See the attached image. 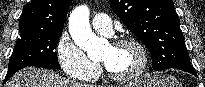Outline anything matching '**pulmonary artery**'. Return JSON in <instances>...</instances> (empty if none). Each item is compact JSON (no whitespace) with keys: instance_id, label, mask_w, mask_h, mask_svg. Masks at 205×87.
Instances as JSON below:
<instances>
[{"instance_id":"e3ab8cb5","label":"pulmonary artery","mask_w":205,"mask_h":87,"mask_svg":"<svg viewBox=\"0 0 205 87\" xmlns=\"http://www.w3.org/2000/svg\"><path fill=\"white\" fill-rule=\"evenodd\" d=\"M93 28L106 35H110L113 31L112 20L106 13H97L92 18Z\"/></svg>"}]
</instances>
